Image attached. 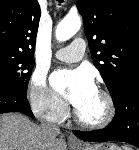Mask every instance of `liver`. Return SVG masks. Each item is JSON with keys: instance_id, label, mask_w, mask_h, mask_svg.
<instances>
[{"instance_id": "1", "label": "liver", "mask_w": 139, "mask_h": 150, "mask_svg": "<svg viewBox=\"0 0 139 150\" xmlns=\"http://www.w3.org/2000/svg\"><path fill=\"white\" fill-rule=\"evenodd\" d=\"M59 133H48L17 113L0 115V150H65Z\"/></svg>"}]
</instances>
